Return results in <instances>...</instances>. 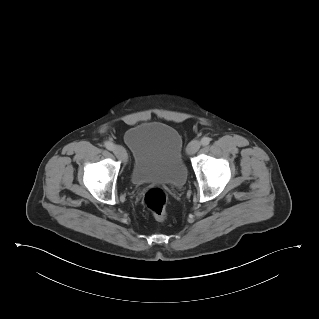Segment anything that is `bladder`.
<instances>
[{
    "label": "bladder",
    "mask_w": 319,
    "mask_h": 319,
    "mask_svg": "<svg viewBox=\"0 0 319 319\" xmlns=\"http://www.w3.org/2000/svg\"><path fill=\"white\" fill-rule=\"evenodd\" d=\"M124 142L133 157L131 182L134 185L157 182L182 187L186 183L183 140L172 126L141 123L126 131Z\"/></svg>",
    "instance_id": "obj_1"
}]
</instances>
